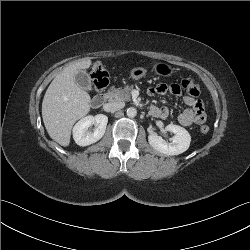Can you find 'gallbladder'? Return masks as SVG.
<instances>
[{
  "instance_id": "bac80fb5",
  "label": "gallbladder",
  "mask_w": 250,
  "mask_h": 250,
  "mask_svg": "<svg viewBox=\"0 0 250 250\" xmlns=\"http://www.w3.org/2000/svg\"><path fill=\"white\" fill-rule=\"evenodd\" d=\"M75 82L78 86L85 90H91L92 88L91 78L84 70H80L76 73Z\"/></svg>"
}]
</instances>
